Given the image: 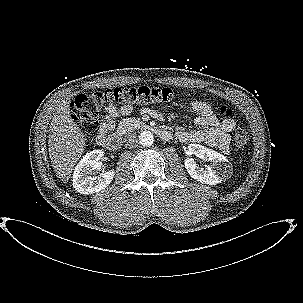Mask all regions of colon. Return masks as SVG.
<instances>
[{
    "mask_svg": "<svg viewBox=\"0 0 303 303\" xmlns=\"http://www.w3.org/2000/svg\"><path fill=\"white\" fill-rule=\"evenodd\" d=\"M173 97V91L167 87L136 86V87H117L106 89L90 94H79L70 105V115L76 120L82 130L88 134L94 133L99 125V115L107 107L124 105L145 107L150 104L166 102ZM218 111L221 115L228 117L230 110L225 106H219ZM235 145L246 148L250 134L241 127L233 131Z\"/></svg>",
    "mask_w": 303,
    "mask_h": 303,
    "instance_id": "obj_1",
    "label": "colon"
}]
</instances>
